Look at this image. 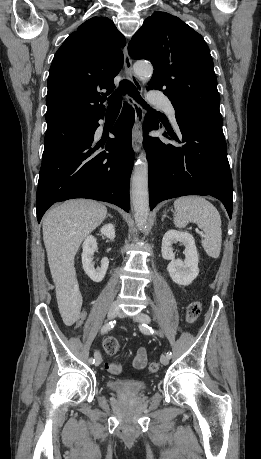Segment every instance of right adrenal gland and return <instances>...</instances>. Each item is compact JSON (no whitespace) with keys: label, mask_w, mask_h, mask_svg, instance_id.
Instances as JSON below:
<instances>
[{"label":"right adrenal gland","mask_w":261,"mask_h":459,"mask_svg":"<svg viewBox=\"0 0 261 459\" xmlns=\"http://www.w3.org/2000/svg\"><path fill=\"white\" fill-rule=\"evenodd\" d=\"M108 217L111 218V219L113 218V216L111 214H108Z\"/></svg>","instance_id":"right-adrenal-gland-1"}]
</instances>
